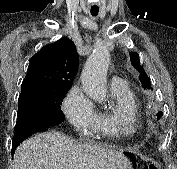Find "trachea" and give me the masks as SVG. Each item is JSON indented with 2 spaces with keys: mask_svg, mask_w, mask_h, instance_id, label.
Instances as JSON below:
<instances>
[{
  "mask_svg": "<svg viewBox=\"0 0 177 169\" xmlns=\"http://www.w3.org/2000/svg\"><path fill=\"white\" fill-rule=\"evenodd\" d=\"M98 12H99V8L98 7H92L91 8V15L92 16H97Z\"/></svg>",
  "mask_w": 177,
  "mask_h": 169,
  "instance_id": "3493384b",
  "label": "trachea"
}]
</instances>
